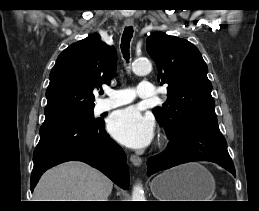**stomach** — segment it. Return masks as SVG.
<instances>
[{
    "label": "stomach",
    "instance_id": "0dacf381",
    "mask_svg": "<svg viewBox=\"0 0 259 211\" xmlns=\"http://www.w3.org/2000/svg\"><path fill=\"white\" fill-rule=\"evenodd\" d=\"M150 188L158 201H211L215 180L199 163H188L159 174Z\"/></svg>",
    "mask_w": 259,
    "mask_h": 211
}]
</instances>
